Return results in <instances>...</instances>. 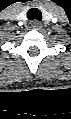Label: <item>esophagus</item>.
<instances>
[{
    "label": "esophagus",
    "mask_w": 71,
    "mask_h": 119,
    "mask_svg": "<svg viewBox=\"0 0 71 119\" xmlns=\"http://www.w3.org/2000/svg\"><path fill=\"white\" fill-rule=\"evenodd\" d=\"M31 25H32L33 28H36V29H40L41 28V23L39 21H37V20L33 21L31 23Z\"/></svg>",
    "instance_id": "obj_1"
}]
</instances>
